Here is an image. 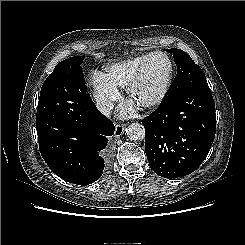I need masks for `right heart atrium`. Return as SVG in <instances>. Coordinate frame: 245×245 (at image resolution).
<instances>
[{"instance_id": "d8ad5b80", "label": "right heart atrium", "mask_w": 245, "mask_h": 245, "mask_svg": "<svg viewBox=\"0 0 245 245\" xmlns=\"http://www.w3.org/2000/svg\"><path fill=\"white\" fill-rule=\"evenodd\" d=\"M92 83L94 96L100 109L103 112H109L113 108L114 102L120 98L118 88L110 84L106 77L99 72L93 74Z\"/></svg>"}]
</instances>
